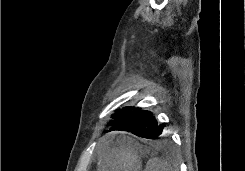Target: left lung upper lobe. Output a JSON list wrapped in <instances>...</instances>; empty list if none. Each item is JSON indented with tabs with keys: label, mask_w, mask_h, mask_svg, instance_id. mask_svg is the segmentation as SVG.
<instances>
[{
	"label": "left lung upper lobe",
	"mask_w": 245,
	"mask_h": 171,
	"mask_svg": "<svg viewBox=\"0 0 245 171\" xmlns=\"http://www.w3.org/2000/svg\"><path fill=\"white\" fill-rule=\"evenodd\" d=\"M130 108L131 107H124L123 109H119L118 111H116L115 114L112 115V118L115 119L113 123L118 121Z\"/></svg>",
	"instance_id": "5c2ea615"
}]
</instances>
